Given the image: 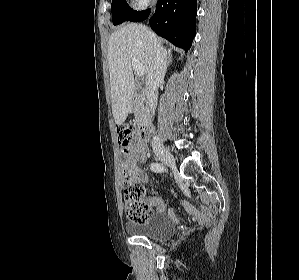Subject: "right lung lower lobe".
I'll return each mask as SVG.
<instances>
[{
    "label": "right lung lower lobe",
    "mask_w": 299,
    "mask_h": 280,
    "mask_svg": "<svg viewBox=\"0 0 299 280\" xmlns=\"http://www.w3.org/2000/svg\"><path fill=\"white\" fill-rule=\"evenodd\" d=\"M196 8L197 0H158L150 26L159 36L187 52L196 32ZM149 14L150 9L134 11L127 21L140 22Z\"/></svg>",
    "instance_id": "98d812e1"
}]
</instances>
